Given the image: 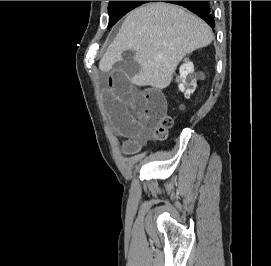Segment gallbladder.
Returning <instances> with one entry per match:
<instances>
[{
	"mask_svg": "<svg viewBox=\"0 0 271 266\" xmlns=\"http://www.w3.org/2000/svg\"><path fill=\"white\" fill-rule=\"evenodd\" d=\"M135 52L133 50H127L122 53V60L115 64L116 72L121 73L123 76L132 77L140 70V65L134 59Z\"/></svg>",
	"mask_w": 271,
	"mask_h": 266,
	"instance_id": "gallbladder-1",
	"label": "gallbladder"
}]
</instances>
